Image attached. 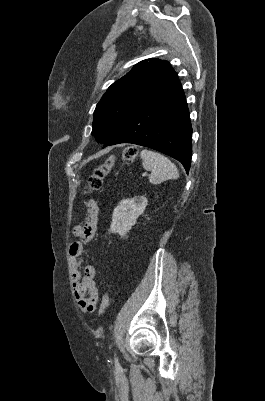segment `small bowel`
Here are the masks:
<instances>
[{"label":"small bowel","mask_w":265,"mask_h":401,"mask_svg":"<svg viewBox=\"0 0 265 401\" xmlns=\"http://www.w3.org/2000/svg\"><path fill=\"white\" fill-rule=\"evenodd\" d=\"M87 216L82 224L73 228V234L78 240L69 247L70 267L73 282V292L79 308L86 313L94 312L97 307L99 290L95 281L96 269L92 265H86L81 272L82 253L85 244L90 242L97 230L99 206L94 198L84 202Z\"/></svg>","instance_id":"obj_1"}]
</instances>
